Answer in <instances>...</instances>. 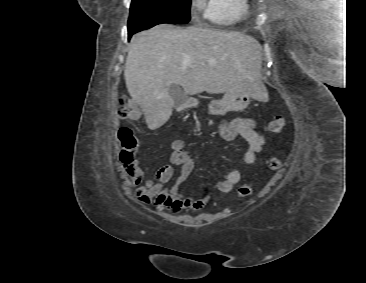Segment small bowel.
Segmentation results:
<instances>
[{
  "instance_id": "c3829d8e",
  "label": "small bowel",
  "mask_w": 366,
  "mask_h": 283,
  "mask_svg": "<svg viewBox=\"0 0 366 283\" xmlns=\"http://www.w3.org/2000/svg\"><path fill=\"white\" fill-rule=\"evenodd\" d=\"M218 132L226 140L242 137L247 141L248 147L243 159L247 165L254 164L256 155L265 145V136L256 128L252 118L241 117L233 120H224L219 123ZM170 164L157 169L153 177L144 179L145 170L137 161L124 163L126 181L131 187H136L134 195L144 205L153 204L159 211L178 212L180 210L196 211L201 209L210 196L201 198L184 196L179 191V186L186 181L194 171L195 161L182 140H174L171 145ZM179 167V174L175 184L167 188L166 184L174 177L175 168ZM241 180V173L237 169L231 170L225 180L215 184L214 189L221 193H229Z\"/></svg>"
}]
</instances>
